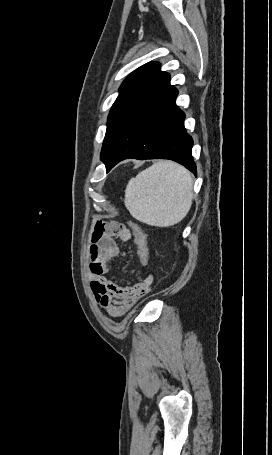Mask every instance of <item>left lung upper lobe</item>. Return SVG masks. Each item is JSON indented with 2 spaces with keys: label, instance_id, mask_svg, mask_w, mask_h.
<instances>
[{
  "label": "left lung upper lobe",
  "instance_id": "1",
  "mask_svg": "<svg viewBox=\"0 0 272 455\" xmlns=\"http://www.w3.org/2000/svg\"><path fill=\"white\" fill-rule=\"evenodd\" d=\"M169 85L170 75L160 71V64L157 62L139 67L124 80L108 116L101 160L105 158L126 124Z\"/></svg>",
  "mask_w": 272,
  "mask_h": 455
}]
</instances>
